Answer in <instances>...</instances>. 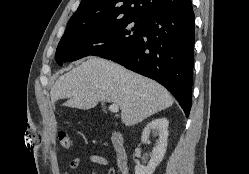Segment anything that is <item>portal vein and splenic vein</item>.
Returning a JSON list of instances; mask_svg holds the SVG:
<instances>
[{"instance_id":"1","label":"portal vein and splenic vein","mask_w":249,"mask_h":174,"mask_svg":"<svg viewBox=\"0 0 249 174\" xmlns=\"http://www.w3.org/2000/svg\"><path fill=\"white\" fill-rule=\"evenodd\" d=\"M108 109L113 113L119 112V106L117 104H111Z\"/></svg>"}]
</instances>
